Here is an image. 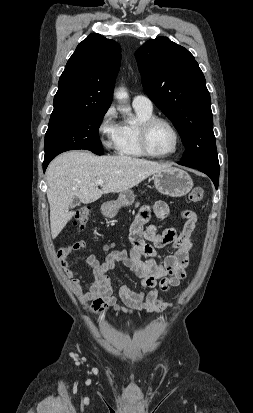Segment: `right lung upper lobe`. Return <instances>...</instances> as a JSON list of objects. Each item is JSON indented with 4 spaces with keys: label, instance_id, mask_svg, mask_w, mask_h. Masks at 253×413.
<instances>
[{
    "label": "right lung upper lobe",
    "instance_id": "right-lung-upper-lobe-1",
    "mask_svg": "<svg viewBox=\"0 0 253 413\" xmlns=\"http://www.w3.org/2000/svg\"><path fill=\"white\" fill-rule=\"evenodd\" d=\"M120 61L118 43L100 34H90L66 64L51 116L108 110Z\"/></svg>",
    "mask_w": 253,
    "mask_h": 413
}]
</instances>
